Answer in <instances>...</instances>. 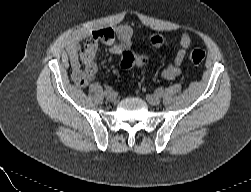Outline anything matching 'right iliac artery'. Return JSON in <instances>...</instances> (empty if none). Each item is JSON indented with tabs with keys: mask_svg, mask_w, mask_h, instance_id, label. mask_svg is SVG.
Instances as JSON below:
<instances>
[{
	"mask_svg": "<svg viewBox=\"0 0 251 192\" xmlns=\"http://www.w3.org/2000/svg\"><path fill=\"white\" fill-rule=\"evenodd\" d=\"M113 92V88L110 87V86H107L105 91H104V94L107 96L108 94L112 93Z\"/></svg>",
	"mask_w": 251,
	"mask_h": 192,
	"instance_id": "obj_1",
	"label": "right iliac artery"
}]
</instances>
